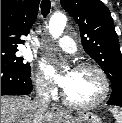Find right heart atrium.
<instances>
[{
	"mask_svg": "<svg viewBox=\"0 0 122 123\" xmlns=\"http://www.w3.org/2000/svg\"><path fill=\"white\" fill-rule=\"evenodd\" d=\"M35 84H36V88L39 94L43 96H49L53 93L52 86L42 76H37Z\"/></svg>",
	"mask_w": 122,
	"mask_h": 123,
	"instance_id": "obj_1",
	"label": "right heart atrium"
}]
</instances>
